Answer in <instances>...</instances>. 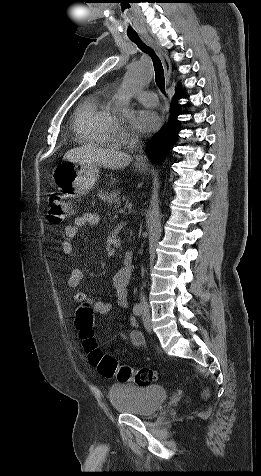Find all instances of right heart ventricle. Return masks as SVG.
<instances>
[{
  "label": "right heart ventricle",
  "mask_w": 261,
  "mask_h": 476,
  "mask_svg": "<svg viewBox=\"0 0 261 476\" xmlns=\"http://www.w3.org/2000/svg\"><path fill=\"white\" fill-rule=\"evenodd\" d=\"M109 95L96 92L88 95L76 110L74 128L84 144L109 146L114 143L117 126L108 108Z\"/></svg>",
  "instance_id": "right-heart-ventricle-1"
}]
</instances>
